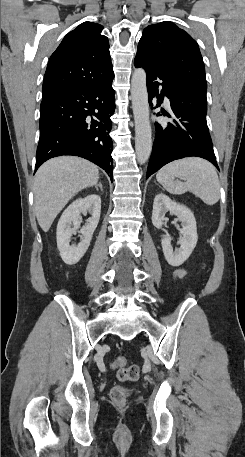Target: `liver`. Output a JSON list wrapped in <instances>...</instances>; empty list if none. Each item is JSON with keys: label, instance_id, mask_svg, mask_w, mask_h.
Returning a JSON list of instances; mask_svg holds the SVG:
<instances>
[{"label": "liver", "instance_id": "obj_1", "mask_svg": "<svg viewBox=\"0 0 245 457\" xmlns=\"http://www.w3.org/2000/svg\"><path fill=\"white\" fill-rule=\"evenodd\" d=\"M96 164L79 156H56L44 162L35 174V214L47 233L58 212L68 200L86 186L97 184Z\"/></svg>", "mask_w": 245, "mask_h": 457}]
</instances>
